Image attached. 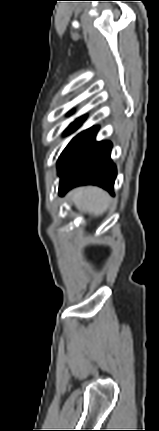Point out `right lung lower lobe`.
<instances>
[{"label": "right lung lower lobe", "instance_id": "obj_1", "mask_svg": "<svg viewBox=\"0 0 159 431\" xmlns=\"http://www.w3.org/2000/svg\"><path fill=\"white\" fill-rule=\"evenodd\" d=\"M97 131L98 127H92L79 133L59 157L60 195L86 184L98 185L113 194L117 170L110 157L112 143L95 141Z\"/></svg>", "mask_w": 159, "mask_h": 431}]
</instances>
